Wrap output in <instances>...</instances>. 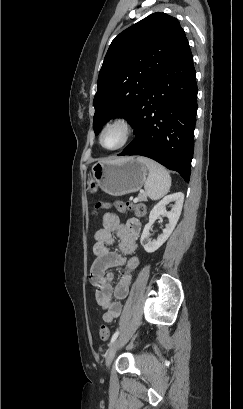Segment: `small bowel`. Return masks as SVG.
I'll return each instance as SVG.
<instances>
[{"instance_id": "c3829d8e", "label": "small bowel", "mask_w": 243, "mask_h": 409, "mask_svg": "<svg viewBox=\"0 0 243 409\" xmlns=\"http://www.w3.org/2000/svg\"><path fill=\"white\" fill-rule=\"evenodd\" d=\"M140 232L141 223L137 218H128L122 224L116 213L107 211L102 216V227L94 234L95 258L89 276L95 287L96 301L104 310L103 320L107 323L118 318L122 310L120 301L128 295L131 273L139 264L136 250ZM114 234L118 236L119 249L126 257L110 249L114 243ZM115 267H122L123 274L113 286L114 276L109 270Z\"/></svg>"}]
</instances>
